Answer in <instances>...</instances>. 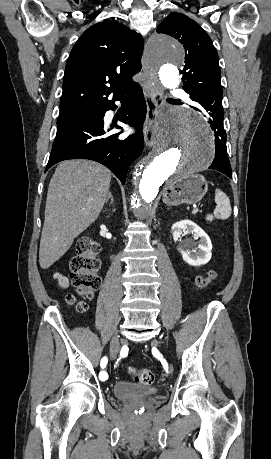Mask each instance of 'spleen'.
<instances>
[{
  "instance_id": "obj_1",
  "label": "spleen",
  "mask_w": 271,
  "mask_h": 459,
  "mask_svg": "<svg viewBox=\"0 0 271 459\" xmlns=\"http://www.w3.org/2000/svg\"><path fill=\"white\" fill-rule=\"evenodd\" d=\"M215 204H217L214 210L215 218L227 220L231 216V204L228 196L224 192H221V190H216L215 192ZM210 220H213V218H210Z\"/></svg>"
}]
</instances>
